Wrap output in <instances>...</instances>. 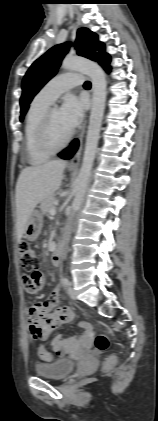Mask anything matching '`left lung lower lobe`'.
Here are the masks:
<instances>
[{
  "label": "left lung lower lobe",
  "mask_w": 158,
  "mask_h": 421,
  "mask_svg": "<svg viewBox=\"0 0 158 421\" xmlns=\"http://www.w3.org/2000/svg\"><path fill=\"white\" fill-rule=\"evenodd\" d=\"M110 61H111V58H110V56L109 55H107L106 57H104L103 59H102V61L100 62V65L107 71V72H110V70H111V67H110V65H109V63H110ZM78 146H79V140L78 139H75L72 143H71V145H70V147L67 149V150H64V151H62V152H60L59 154H58V156H60L62 159H70L72 156H73V154L77 151V149H78Z\"/></svg>",
  "instance_id": "left-lung-lower-lobe-1"
}]
</instances>
